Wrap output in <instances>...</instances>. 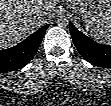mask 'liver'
Returning a JSON list of instances; mask_svg holds the SVG:
<instances>
[{
	"label": "liver",
	"mask_w": 111,
	"mask_h": 106,
	"mask_svg": "<svg viewBox=\"0 0 111 106\" xmlns=\"http://www.w3.org/2000/svg\"><path fill=\"white\" fill-rule=\"evenodd\" d=\"M58 0H1L0 47H11L47 21Z\"/></svg>",
	"instance_id": "obj_1"
}]
</instances>
